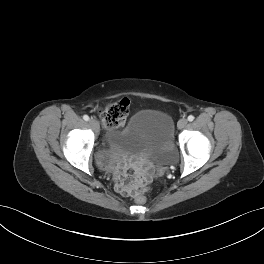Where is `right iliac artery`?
<instances>
[{
  "mask_svg": "<svg viewBox=\"0 0 264 264\" xmlns=\"http://www.w3.org/2000/svg\"><path fill=\"white\" fill-rule=\"evenodd\" d=\"M83 119H84L85 121H88V120H89V116H88V115H84V116H83Z\"/></svg>",
  "mask_w": 264,
  "mask_h": 264,
  "instance_id": "1",
  "label": "right iliac artery"
}]
</instances>
